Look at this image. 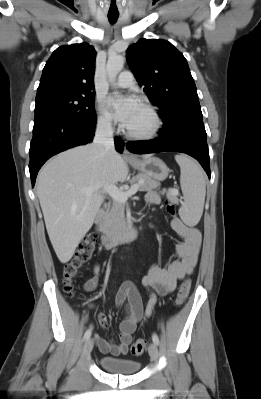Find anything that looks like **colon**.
<instances>
[{
    "label": "colon",
    "mask_w": 261,
    "mask_h": 399,
    "mask_svg": "<svg viewBox=\"0 0 261 399\" xmlns=\"http://www.w3.org/2000/svg\"><path fill=\"white\" fill-rule=\"evenodd\" d=\"M165 209L170 216H175L176 208L173 203L167 202L165 204ZM96 244H97V235L88 234L80 244L74 257L64 266L63 270L64 292L68 297L75 296L74 279L77 276L80 269L91 260ZM190 288H191L190 279H185L180 285L179 290L177 292L176 304L178 306L184 303L189 294ZM145 348H146V341L143 339H138L135 342H133L131 346V352L134 355H141L144 352Z\"/></svg>",
    "instance_id": "5ec220e1"
}]
</instances>
